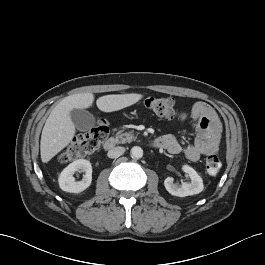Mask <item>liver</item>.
<instances>
[{"label": "liver", "instance_id": "obj_1", "mask_svg": "<svg viewBox=\"0 0 265 265\" xmlns=\"http://www.w3.org/2000/svg\"><path fill=\"white\" fill-rule=\"evenodd\" d=\"M142 98L143 95L137 93L105 95L97 99L96 105L103 112H113L131 106ZM93 101L92 93H80L67 96L56 105L42 130L40 154L43 163L49 162L72 141L76 130L70 112L89 108Z\"/></svg>", "mask_w": 265, "mask_h": 265}]
</instances>
